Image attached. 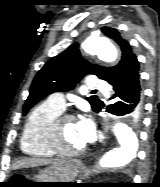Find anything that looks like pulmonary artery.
<instances>
[{"mask_svg": "<svg viewBox=\"0 0 160 187\" xmlns=\"http://www.w3.org/2000/svg\"><path fill=\"white\" fill-rule=\"evenodd\" d=\"M86 87L89 89H95L98 91H107L109 89V86L107 83L101 80L93 79V78H90L89 80H87ZM48 101L61 110H64L65 108V98H64V95L60 92L52 94L49 97Z\"/></svg>", "mask_w": 160, "mask_h": 187, "instance_id": "obj_1", "label": "pulmonary artery"}]
</instances>
